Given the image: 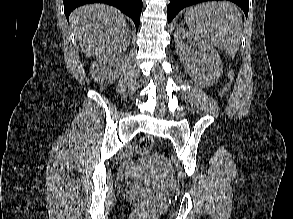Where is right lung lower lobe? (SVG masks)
Instances as JSON below:
<instances>
[{
	"mask_svg": "<svg viewBox=\"0 0 293 219\" xmlns=\"http://www.w3.org/2000/svg\"><path fill=\"white\" fill-rule=\"evenodd\" d=\"M95 2L106 3L118 8L133 20L136 28L139 27L142 0H63L66 18L69 19L70 13L75 8L83 4Z\"/></svg>",
	"mask_w": 293,
	"mask_h": 219,
	"instance_id": "right-lung-lower-lobe-1",
	"label": "right lung lower lobe"
}]
</instances>
